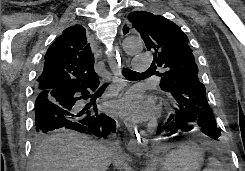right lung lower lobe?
Returning a JSON list of instances; mask_svg holds the SVG:
<instances>
[{"label":"right lung lower lobe","mask_w":245,"mask_h":171,"mask_svg":"<svg viewBox=\"0 0 245 171\" xmlns=\"http://www.w3.org/2000/svg\"><path fill=\"white\" fill-rule=\"evenodd\" d=\"M99 81L71 84L49 91H37L35 101L36 137L61 127L106 138L116 131V122L101 113L93 103L82 104L91 97Z\"/></svg>","instance_id":"obj_1"}]
</instances>
